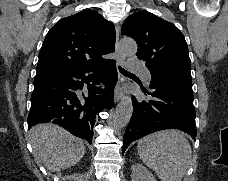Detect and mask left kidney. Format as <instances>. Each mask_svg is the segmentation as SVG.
Wrapping results in <instances>:
<instances>
[{"mask_svg": "<svg viewBox=\"0 0 228 181\" xmlns=\"http://www.w3.org/2000/svg\"><path fill=\"white\" fill-rule=\"evenodd\" d=\"M132 181H156L155 177L149 173L148 169L140 163H136L132 167L131 173Z\"/></svg>", "mask_w": 228, "mask_h": 181, "instance_id": "obj_1", "label": "left kidney"}]
</instances>
